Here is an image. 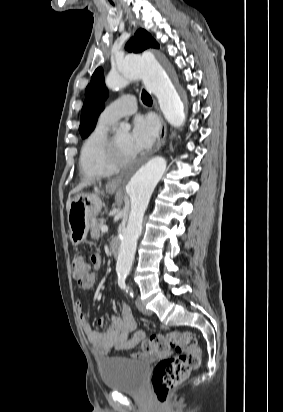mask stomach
<instances>
[{
    "mask_svg": "<svg viewBox=\"0 0 283 412\" xmlns=\"http://www.w3.org/2000/svg\"><path fill=\"white\" fill-rule=\"evenodd\" d=\"M116 187L107 186L109 193H114ZM102 208V201L98 194H78L71 202L68 211L69 238L72 244L82 243L87 235L92 219Z\"/></svg>",
    "mask_w": 283,
    "mask_h": 412,
    "instance_id": "obj_1",
    "label": "stomach"
}]
</instances>
